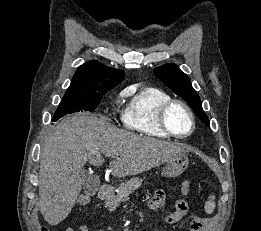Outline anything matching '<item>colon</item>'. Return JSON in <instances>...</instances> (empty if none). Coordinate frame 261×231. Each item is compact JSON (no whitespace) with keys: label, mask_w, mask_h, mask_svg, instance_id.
Returning <instances> with one entry per match:
<instances>
[{"label":"colon","mask_w":261,"mask_h":231,"mask_svg":"<svg viewBox=\"0 0 261 231\" xmlns=\"http://www.w3.org/2000/svg\"><path fill=\"white\" fill-rule=\"evenodd\" d=\"M190 188L189 182H184L182 185V193L187 194ZM90 199L87 196H82L77 200L78 205H87ZM208 226V220L206 218H193L190 221V231H200L201 229ZM47 231H50L47 229Z\"/></svg>","instance_id":"obj_1"}]
</instances>
